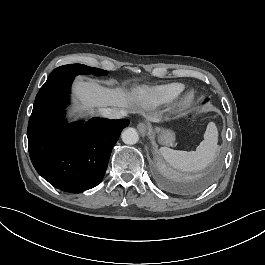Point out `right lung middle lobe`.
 <instances>
[{
  "label": "right lung middle lobe",
  "instance_id": "dd1d6c3e",
  "mask_svg": "<svg viewBox=\"0 0 265 265\" xmlns=\"http://www.w3.org/2000/svg\"><path fill=\"white\" fill-rule=\"evenodd\" d=\"M79 74H93L101 76V75H106L107 71L98 68L88 67L83 64H68L54 69V71L48 77L47 81H52L66 77H74Z\"/></svg>",
  "mask_w": 265,
  "mask_h": 265
}]
</instances>
